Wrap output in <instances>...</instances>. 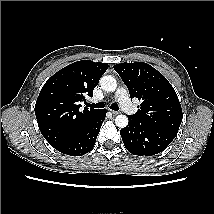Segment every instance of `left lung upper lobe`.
<instances>
[{
	"mask_svg": "<svg viewBox=\"0 0 214 214\" xmlns=\"http://www.w3.org/2000/svg\"><path fill=\"white\" fill-rule=\"evenodd\" d=\"M113 68L128 87L131 98L141 101L140 109L130 118L178 132L182 108L174 88L159 71L144 62L121 63Z\"/></svg>",
	"mask_w": 214,
	"mask_h": 214,
	"instance_id": "obj_1",
	"label": "left lung upper lobe"
}]
</instances>
